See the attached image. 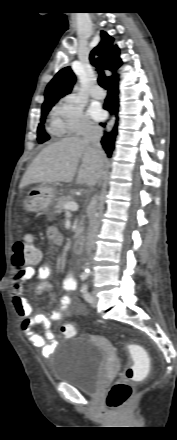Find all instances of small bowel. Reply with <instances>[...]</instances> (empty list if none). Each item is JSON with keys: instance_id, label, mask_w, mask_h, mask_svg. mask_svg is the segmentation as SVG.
Returning <instances> with one entry per match:
<instances>
[{"instance_id": "1", "label": "small bowel", "mask_w": 177, "mask_h": 440, "mask_svg": "<svg viewBox=\"0 0 177 440\" xmlns=\"http://www.w3.org/2000/svg\"><path fill=\"white\" fill-rule=\"evenodd\" d=\"M47 238L53 245L59 246L63 243V236L55 226H50L46 231ZM52 270L50 266L42 264V254L39 260L32 266L19 271L12 278L10 289L15 310L21 318V329L30 343L42 349L44 356H49L55 348L56 340L51 330L50 323L60 322L66 314L84 313L85 307L71 297V293L77 288V282L72 273L63 280L62 287L64 294L59 301V308L52 310L48 315L33 313V308L25 295V283L32 278L39 280L35 288L36 294L53 291V285L48 281ZM43 325L45 333L39 334L34 331L37 325Z\"/></svg>"}]
</instances>
